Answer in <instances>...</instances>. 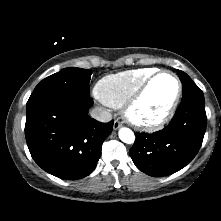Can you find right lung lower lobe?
<instances>
[{
    "label": "right lung lower lobe",
    "mask_w": 221,
    "mask_h": 221,
    "mask_svg": "<svg viewBox=\"0 0 221 221\" xmlns=\"http://www.w3.org/2000/svg\"><path fill=\"white\" fill-rule=\"evenodd\" d=\"M92 104L85 92L56 93L27 104L26 142L43 170L67 180L93 172L113 121L100 123L90 118Z\"/></svg>",
    "instance_id": "1"
}]
</instances>
